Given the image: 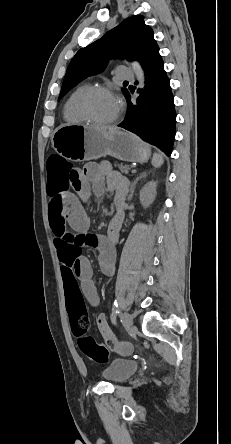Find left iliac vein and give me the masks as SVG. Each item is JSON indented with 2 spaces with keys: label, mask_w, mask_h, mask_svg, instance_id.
<instances>
[{
  "label": "left iliac vein",
  "mask_w": 231,
  "mask_h": 444,
  "mask_svg": "<svg viewBox=\"0 0 231 444\" xmlns=\"http://www.w3.org/2000/svg\"><path fill=\"white\" fill-rule=\"evenodd\" d=\"M123 325L126 330H129L133 326V318L129 313H125L123 317Z\"/></svg>",
  "instance_id": "4c4485c4"
}]
</instances>
